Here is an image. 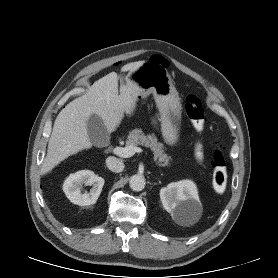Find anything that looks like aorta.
Masks as SVG:
<instances>
[{
  "mask_svg": "<svg viewBox=\"0 0 278 278\" xmlns=\"http://www.w3.org/2000/svg\"><path fill=\"white\" fill-rule=\"evenodd\" d=\"M130 188L133 191H142L145 187V178L142 175L136 174L130 178L129 181Z\"/></svg>",
  "mask_w": 278,
  "mask_h": 278,
  "instance_id": "aorta-1",
  "label": "aorta"
}]
</instances>
